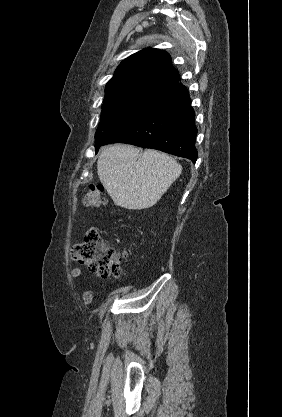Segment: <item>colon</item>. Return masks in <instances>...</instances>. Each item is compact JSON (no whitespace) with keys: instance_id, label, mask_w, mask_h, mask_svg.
<instances>
[{"instance_id":"1","label":"colon","mask_w":282,"mask_h":417,"mask_svg":"<svg viewBox=\"0 0 282 417\" xmlns=\"http://www.w3.org/2000/svg\"><path fill=\"white\" fill-rule=\"evenodd\" d=\"M82 202L89 208L104 205L103 187L101 185L90 186ZM72 258L88 270L107 277H119L127 265L126 254L115 253L96 230L87 232L84 240L74 245Z\"/></svg>"}]
</instances>
